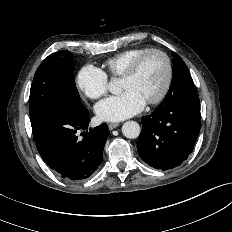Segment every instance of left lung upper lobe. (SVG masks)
<instances>
[{"mask_svg": "<svg viewBox=\"0 0 232 232\" xmlns=\"http://www.w3.org/2000/svg\"><path fill=\"white\" fill-rule=\"evenodd\" d=\"M172 55L174 58L173 81L164 100H174L180 96L198 97L197 89L186 64L175 52H172Z\"/></svg>", "mask_w": 232, "mask_h": 232, "instance_id": "1", "label": "left lung upper lobe"}]
</instances>
